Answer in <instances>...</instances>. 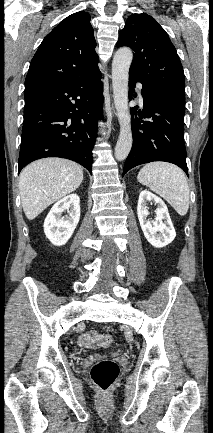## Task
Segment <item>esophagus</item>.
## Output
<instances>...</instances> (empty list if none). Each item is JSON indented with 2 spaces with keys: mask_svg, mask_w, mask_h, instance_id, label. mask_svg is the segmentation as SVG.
Here are the masks:
<instances>
[{
  "mask_svg": "<svg viewBox=\"0 0 213 433\" xmlns=\"http://www.w3.org/2000/svg\"><path fill=\"white\" fill-rule=\"evenodd\" d=\"M112 111L115 113L113 106H112Z\"/></svg>",
  "mask_w": 213,
  "mask_h": 433,
  "instance_id": "obj_1",
  "label": "esophagus"
}]
</instances>
